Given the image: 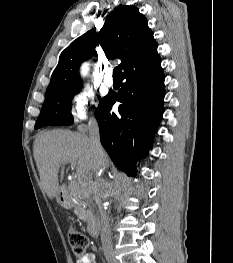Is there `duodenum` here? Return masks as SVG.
<instances>
[{"label":"duodenum","instance_id":"1","mask_svg":"<svg viewBox=\"0 0 233 263\" xmlns=\"http://www.w3.org/2000/svg\"><path fill=\"white\" fill-rule=\"evenodd\" d=\"M60 195H59V199L65 203L66 205H68L69 207H72V203L68 201V197L66 195V187L65 186H61L60 187ZM89 233L91 235L92 238L97 239L99 236V228L98 225L95 222H91L90 226H89Z\"/></svg>","mask_w":233,"mask_h":263}]
</instances>
